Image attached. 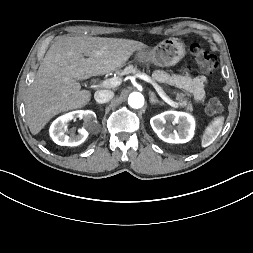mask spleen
I'll return each mask as SVG.
<instances>
[{
    "mask_svg": "<svg viewBox=\"0 0 253 253\" xmlns=\"http://www.w3.org/2000/svg\"><path fill=\"white\" fill-rule=\"evenodd\" d=\"M224 123L223 117H218L209 124L201 138V146L207 147L211 145L220 134Z\"/></svg>",
    "mask_w": 253,
    "mask_h": 253,
    "instance_id": "spleen-1",
    "label": "spleen"
}]
</instances>
